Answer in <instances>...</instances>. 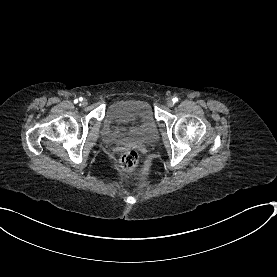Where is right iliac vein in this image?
I'll use <instances>...</instances> for the list:
<instances>
[{
	"instance_id": "obj_1",
	"label": "right iliac vein",
	"mask_w": 277,
	"mask_h": 277,
	"mask_svg": "<svg viewBox=\"0 0 277 277\" xmlns=\"http://www.w3.org/2000/svg\"><path fill=\"white\" fill-rule=\"evenodd\" d=\"M81 103H82L83 106H86L87 105V100H83Z\"/></svg>"
}]
</instances>
